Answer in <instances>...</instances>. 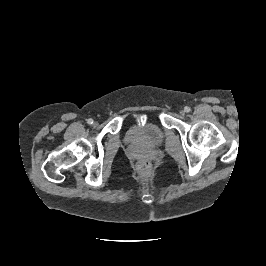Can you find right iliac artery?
Returning <instances> with one entry per match:
<instances>
[{
	"mask_svg": "<svg viewBox=\"0 0 266 266\" xmlns=\"http://www.w3.org/2000/svg\"><path fill=\"white\" fill-rule=\"evenodd\" d=\"M87 123L91 125V124H93V120L92 119H88Z\"/></svg>",
	"mask_w": 266,
	"mask_h": 266,
	"instance_id": "82829eb1",
	"label": "right iliac artery"
}]
</instances>
